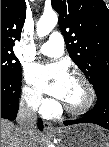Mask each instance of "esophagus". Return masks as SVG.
Masks as SVG:
<instances>
[{
    "instance_id": "esophagus-1",
    "label": "esophagus",
    "mask_w": 109,
    "mask_h": 147,
    "mask_svg": "<svg viewBox=\"0 0 109 147\" xmlns=\"http://www.w3.org/2000/svg\"><path fill=\"white\" fill-rule=\"evenodd\" d=\"M43 125H44V129L45 130H48V129H52L53 128L52 123L49 122V121H44Z\"/></svg>"
}]
</instances>
